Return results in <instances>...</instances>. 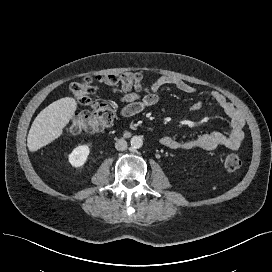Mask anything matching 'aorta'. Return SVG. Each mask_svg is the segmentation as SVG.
<instances>
[{
    "label": "aorta",
    "mask_w": 272,
    "mask_h": 272,
    "mask_svg": "<svg viewBox=\"0 0 272 272\" xmlns=\"http://www.w3.org/2000/svg\"><path fill=\"white\" fill-rule=\"evenodd\" d=\"M131 147L134 149H139L143 145V139L141 136H133L130 140Z\"/></svg>",
    "instance_id": "762f6f07"
}]
</instances>
